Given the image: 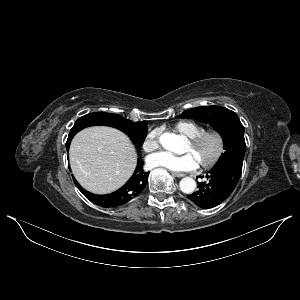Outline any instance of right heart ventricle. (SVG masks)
Returning <instances> with one entry per match:
<instances>
[{
    "label": "right heart ventricle",
    "instance_id": "right-heart-ventricle-1",
    "mask_svg": "<svg viewBox=\"0 0 300 300\" xmlns=\"http://www.w3.org/2000/svg\"><path fill=\"white\" fill-rule=\"evenodd\" d=\"M173 129L176 132L189 138V137H193L196 134L200 133L205 128L202 124H199V123L191 121V120H180L173 125Z\"/></svg>",
    "mask_w": 300,
    "mask_h": 300
}]
</instances>
